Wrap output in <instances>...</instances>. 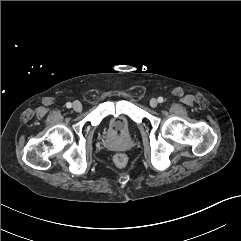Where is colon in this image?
Listing matches in <instances>:
<instances>
[{"label": "colon", "instance_id": "5ec220e1", "mask_svg": "<svg viewBox=\"0 0 241 241\" xmlns=\"http://www.w3.org/2000/svg\"><path fill=\"white\" fill-rule=\"evenodd\" d=\"M127 161V156L123 153H118L114 156V163L119 167L126 165Z\"/></svg>", "mask_w": 241, "mask_h": 241}]
</instances>
